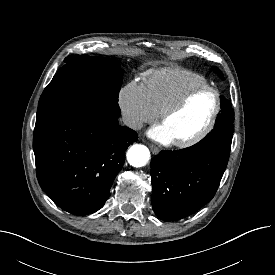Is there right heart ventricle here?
<instances>
[{
	"label": "right heart ventricle",
	"instance_id": "right-heart-ventricle-1",
	"mask_svg": "<svg viewBox=\"0 0 275 275\" xmlns=\"http://www.w3.org/2000/svg\"><path fill=\"white\" fill-rule=\"evenodd\" d=\"M206 84V79L197 73L165 68L151 71L144 79L143 87L150 105L160 113L186 91Z\"/></svg>",
	"mask_w": 275,
	"mask_h": 275
}]
</instances>
